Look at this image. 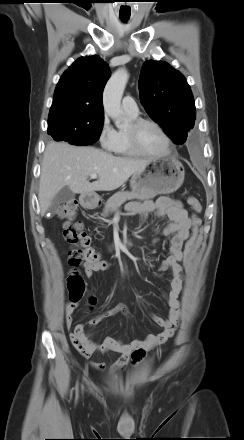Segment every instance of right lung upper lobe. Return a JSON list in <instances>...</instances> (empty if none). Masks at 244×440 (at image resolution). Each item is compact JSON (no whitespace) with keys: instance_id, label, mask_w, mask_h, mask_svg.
Instances as JSON below:
<instances>
[{"instance_id":"right-lung-upper-lobe-1","label":"right lung upper lobe","mask_w":244,"mask_h":440,"mask_svg":"<svg viewBox=\"0 0 244 440\" xmlns=\"http://www.w3.org/2000/svg\"><path fill=\"white\" fill-rule=\"evenodd\" d=\"M110 74L108 64L96 55L76 60L56 86L48 121H103L102 93Z\"/></svg>"}]
</instances>
